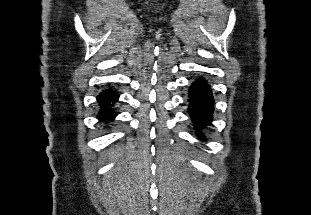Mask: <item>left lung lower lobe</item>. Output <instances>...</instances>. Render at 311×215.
I'll return each instance as SVG.
<instances>
[{
	"instance_id": "0a47b994",
	"label": "left lung lower lobe",
	"mask_w": 311,
	"mask_h": 215,
	"mask_svg": "<svg viewBox=\"0 0 311 215\" xmlns=\"http://www.w3.org/2000/svg\"><path fill=\"white\" fill-rule=\"evenodd\" d=\"M214 100L211 88L203 78L197 79L189 90V114L200 129L210 124L212 120ZM199 135V133H198ZM203 139L202 135L199 136Z\"/></svg>"
}]
</instances>
